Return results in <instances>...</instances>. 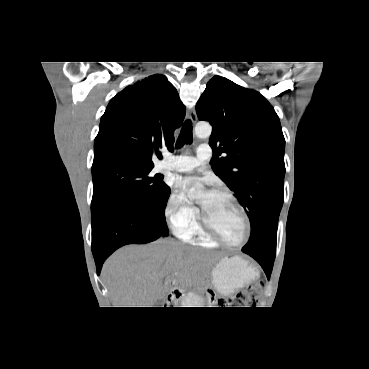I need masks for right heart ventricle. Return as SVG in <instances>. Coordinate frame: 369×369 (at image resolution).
Wrapping results in <instances>:
<instances>
[{"mask_svg":"<svg viewBox=\"0 0 369 369\" xmlns=\"http://www.w3.org/2000/svg\"><path fill=\"white\" fill-rule=\"evenodd\" d=\"M182 237L184 239L194 240V241L198 242L200 245H203V246H209L210 247V246H215L216 245V242H214L213 240L208 238L203 233V231L201 230L198 223H196V225L194 226V228L192 229V231L189 234L182 235Z\"/></svg>","mask_w":369,"mask_h":369,"instance_id":"e07e8e85","label":"right heart ventricle"}]
</instances>
